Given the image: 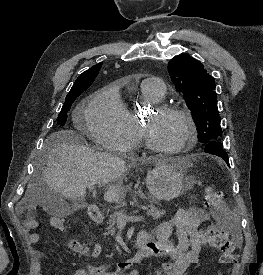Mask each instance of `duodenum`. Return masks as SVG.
I'll list each match as a JSON object with an SVG mask.
<instances>
[{
  "instance_id": "obj_1",
  "label": "duodenum",
  "mask_w": 263,
  "mask_h": 275,
  "mask_svg": "<svg viewBox=\"0 0 263 275\" xmlns=\"http://www.w3.org/2000/svg\"><path fill=\"white\" fill-rule=\"evenodd\" d=\"M90 218L96 222L101 223L103 221V215L93 206L88 209ZM151 253L148 247V238L144 232H140L137 237V252L134 257L120 262L118 266L121 269L127 268L140 260L150 257Z\"/></svg>"
}]
</instances>
